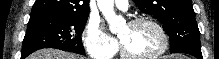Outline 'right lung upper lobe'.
<instances>
[{"mask_svg": "<svg viewBox=\"0 0 219 59\" xmlns=\"http://www.w3.org/2000/svg\"><path fill=\"white\" fill-rule=\"evenodd\" d=\"M89 12V0H36L31 13L85 16Z\"/></svg>", "mask_w": 219, "mask_h": 59, "instance_id": "obj_1", "label": "right lung upper lobe"}]
</instances>
